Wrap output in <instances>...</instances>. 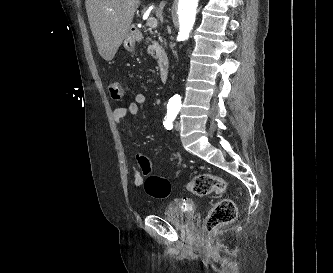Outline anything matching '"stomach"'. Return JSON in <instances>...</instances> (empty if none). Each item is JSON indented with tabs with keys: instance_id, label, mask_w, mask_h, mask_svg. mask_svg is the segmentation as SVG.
I'll use <instances>...</instances> for the list:
<instances>
[{
	"instance_id": "1",
	"label": "stomach",
	"mask_w": 333,
	"mask_h": 273,
	"mask_svg": "<svg viewBox=\"0 0 333 273\" xmlns=\"http://www.w3.org/2000/svg\"><path fill=\"white\" fill-rule=\"evenodd\" d=\"M136 37L133 33H129L124 40V47L128 51H133L135 47Z\"/></svg>"
}]
</instances>
